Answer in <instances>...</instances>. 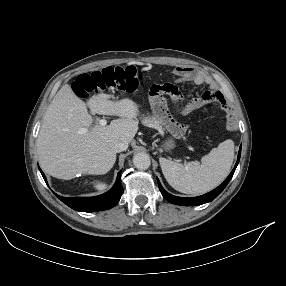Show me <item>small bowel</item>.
<instances>
[{"label": "small bowel", "instance_id": "c3829d8e", "mask_svg": "<svg viewBox=\"0 0 286 286\" xmlns=\"http://www.w3.org/2000/svg\"><path fill=\"white\" fill-rule=\"evenodd\" d=\"M175 75L179 77L181 81H192L197 85L208 84L211 86V90L204 91L200 96L191 99L187 103H183V98L178 94L173 96L178 102V112L181 115H189L192 112L202 108L206 104L212 102H220L224 108H226V102L221 92L212 84L208 76L190 66H179L174 70ZM178 89V88H177Z\"/></svg>", "mask_w": 286, "mask_h": 286}]
</instances>
